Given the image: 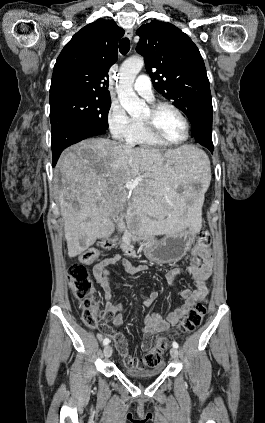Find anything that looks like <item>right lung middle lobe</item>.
Returning a JSON list of instances; mask_svg holds the SVG:
<instances>
[{
	"mask_svg": "<svg viewBox=\"0 0 265 423\" xmlns=\"http://www.w3.org/2000/svg\"><path fill=\"white\" fill-rule=\"evenodd\" d=\"M110 98L79 93L61 94L50 98L51 125L63 119H74L102 129L108 128Z\"/></svg>",
	"mask_w": 265,
	"mask_h": 423,
	"instance_id": "obj_1",
	"label": "right lung middle lobe"
}]
</instances>
